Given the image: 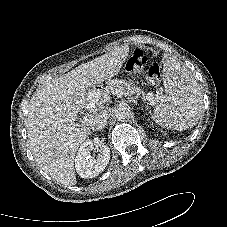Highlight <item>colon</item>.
I'll return each mask as SVG.
<instances>
[{
	"label": "colon",
	"mask_w": 227,
	"mask_h": 227,
	"mask_svg": "<svg viewBox=\"0 0 227 227\" xmlns=\"http://www.w3.org/2000/svg\"><path fill=\"white\" fill-rule=\"evenodd\" d=\"M146 69L149 81L158 85L161 80L160 67L156 62H149L141 49H136L126 63V70L130 73H140Z\"/></svg>",
	"instance_id": "obj_1"
}]
</instances>
